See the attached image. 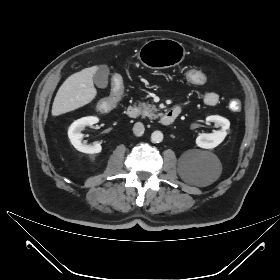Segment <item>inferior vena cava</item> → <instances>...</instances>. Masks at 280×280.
I'll list each match as a JSON object with an SVG mask.
<instances>
[{"instance_id":"obj_1","label":"inferior vena cava","mask_w":280,"mask_h":280,"mask_svg":"<svg viewBox=\"0 0 280 280\" xmlns=\"http://www.w3.org/2000/svg\"><path fill=\"white\" fill-rule=\"evenodd\" d=\"M144 130H145L144 125H143V123H141V122H137V123H135L134 126H133V133H134L136 136H142L143 133H144Z\"/></svg>"}]
</instances>
